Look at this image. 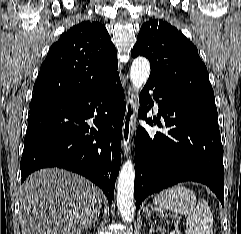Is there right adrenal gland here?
I'll return each instance as SVG.
<instances>
[{
  "label": "right adrenal gland",
  "instance_id": "obj_1",
  "mask_svg": "<svg viewBox=\"0 0 241 234\" xmlns=\"http://www.w3.org/2000/svg\"><path fill=\"white\" fill-rule=\"evenodd\" d=\"M99 215H100V211L98 212V214L96 215V217H95V219H94V221L92 223L93 227H95Z\"/></svg>",
  "mask_w": 241,
  "mask_h": 234
}]
</instances>
